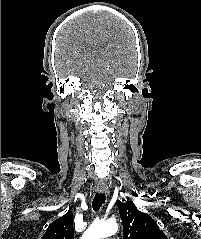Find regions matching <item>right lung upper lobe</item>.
<instances>
[{
    "instance_id": "cb5924a9",
    "label": "right lung upper lobe",
    "mask_w": 201,
    "mask_h": 239,
    "mask_svg": "<svg viewBox=\"0 0 201 239\" xmlns=\"http://www.w3.org/2000/svg\"><path fill=\"white\" fill-rule=\"evenodd\" d=\"M73 214L71 209L52 222L41 239H74Z\"/></svg>"
}]
</instances>
